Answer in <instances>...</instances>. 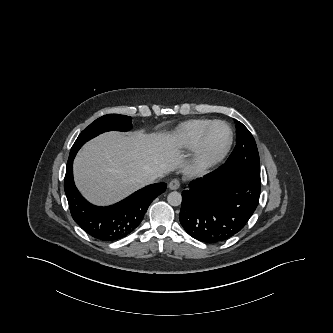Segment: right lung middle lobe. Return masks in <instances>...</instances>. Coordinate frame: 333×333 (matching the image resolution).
<instances>
[{"mask_svg":"<svg viewBox=\"0 0 333 333\" xmlns=\"http://www.w3.org/2000/svg\"><path fill=\"white\" fill-rule=\"evenodd\" d=\"M131 117L119 114H108L104 115L93 123H91L88 127H86L76 139L74 145L71 148L70 155L75 156L77 151L81 148V146L87 142L88 140L94 138L95 136L115 130V131H128L131 129Z\"/></svg>","mask_w":333,"mask_h":333,"instance_id":"dd1d6c3e","label":"right lung middle lobe"}]
</instances>
